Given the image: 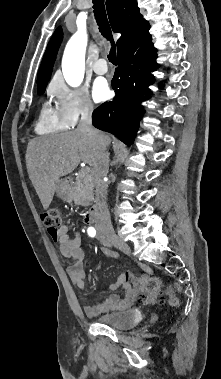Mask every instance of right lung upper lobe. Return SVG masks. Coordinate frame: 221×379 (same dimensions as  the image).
I'll return each instance as SVG.
<instances>
[{"label": "right lung upper lobe", "mask_w": 221, "mask_h": 379, "mask_svg": "<svg viewBox=\"0 0 221 379\" xmlns=\"http://www.w3.org/2000/svg\"><path fill=\"white\" fill-rule=\"evenodd\" d=\"M107 12L114 32L122 33L117 50L129 44L150 28L140 14L136 0H106ZM62 41L61 28H57L45 51L37 77V87L46 86L50 79L56 54Z\"/></svg>", "instance_id": "right-lung-upper-lobe-1"}]
</instances>
